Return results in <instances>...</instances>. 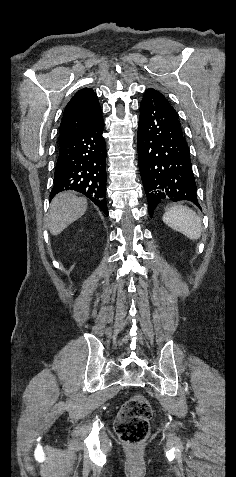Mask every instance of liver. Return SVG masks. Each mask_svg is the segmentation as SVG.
I'll use <instances>...</instances> for the list:
<instances>
[{
	"mask_svg": "<svg viewBox=\"0 0 236 477\" xmlns=\"http://www.w3.org/2000/svg\"><path fill=\"white\" fill-rule=\"evenodd\" d=\"M87 210V200L72 192L56 195L49 209L48 229L52 235L60 234L71 223L81 218Z\"/></svg>",
	"mask_w": 236,
	"mask_h": 477,
	"instance_id": "obj_1",
	"label": "liver"
}]
</instances>
